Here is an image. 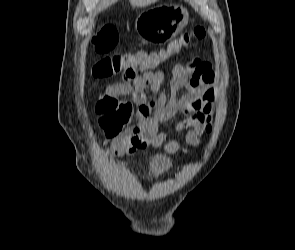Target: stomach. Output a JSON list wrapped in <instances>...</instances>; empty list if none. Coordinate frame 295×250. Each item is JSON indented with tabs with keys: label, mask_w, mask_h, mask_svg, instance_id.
<instances>
[{
	"label": "stomach",
	"mask_w": 295,
	"mask_h": 250,
	"mask_svg": "<svg viewBox=\"0 0 295 250\" xmlns=\"http://www.w3.org/2000/svg\"><path fill=\"white\" fill-rule=\"evenodd\" d=\"M189 20L186 8L178 5H159L145 11L137 20L136 30L149 40V45H162L181 32Z\"/></svg>",
	"instance_id": "stomach-1"
}]
</instances>
